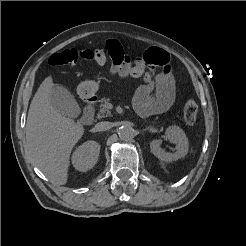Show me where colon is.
<instances>
[{
	"instance_id": "1",
	"label": "colon",
	"mask_w": 246,
	"mask_h": 246,
	"mask_svg": "<svg viewBox=\"0 0 246 246\" xmlns=\"http://www.w3.org/2000/svg\"><path fill=\"white\" fill-rule=\"evenodd\" d=\"M122 52L120 49L105 48V49H90L78 48L67 49L62 52L52 54L48 63L52 66L59 65H73L79 60L93 61L97 64L103 65L108 61L120 60ZM198 115V104L195 100L189 99L185 102L183 107V118L189 125L195 123Z\"/></svg>"
}]
</instances>
